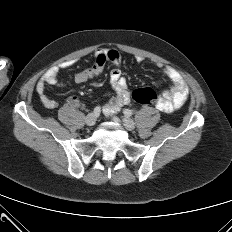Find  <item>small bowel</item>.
Wrapping results in <instances>:
<instances>
[{
    "label": "small bowel",
    "mask_w": 232,
    "mask_h": 232,
    "mask_svg": "<svg viewBox=\"0 0 232 232\" xmlns=\"http://www.w3.org/2000/svg\"><path fill=\"white\" fill-rule=\"evenodd\" d=\"M137 62H141V58L136 59ZM110 62L116 67L111 70L109 81L114 95L108 99L103 105V112L107 115H113L117 113L123 105L130 102V93L128 90V82L123 76L120 69L122 59L120 54L114 49H99L94 55V63L91 67L77 72L74 76L76 83H84L91 80L95 76H98L104 69L105 65ZM74 61H66L58 66L49 68L38 81L36 91L40 96L41 102L48 109H54L57 107V102L50 98L46 92V84L59 85L58 75L61 69H66L72 66ZM157 68L162 74L172 82V88L169 91L162 93L159 98L156 107L158 110L165 113H172L180 109L189 94V88L185 83L182 75L175 69L158 64ZM67 103L72 108H83V104L75 96L68 98Z\"/></svg>",
    "instance_id": "obj_1"
}]
</instances>
